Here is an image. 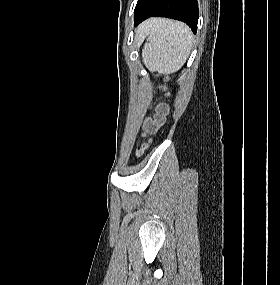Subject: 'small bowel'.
<instances>
[{
    "label": "small bowel",
    "mask_w": 280,
    "mask_h": 285,
    "mask_svg": "<svg viewBox=\"0 0 280 285\" xmlns=\"http://www.w3.org/2000/svg\"><path fill=\"white\" fill-rule=\"evenodd\" d=\"M164 116V109L162 107H159L158 109V113H157V118H156V121L154 122H149L147 124V129L149 130V128L152 126V125H158L159 124V120Z\"/></svg>",
    "instance_id": "obj_1"
}]
</instances>
